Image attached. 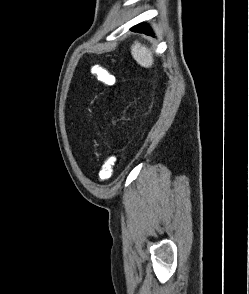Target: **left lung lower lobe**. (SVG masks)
<instances>
[{
    "mask_svg": "<svg viewBox=\"0 0 249 294\" xmlns=\"http://www.w3.org/2000/svg\"><path fill=\"white\" fill-rule=\"evenodd\" d=\"M131 30L138 31V32H144L148 35H152L150 28L146 24H139L137 26H134Z\"/></svg>",
    "mask_w": 249,
    "mask_h": 294,
    "instance_id": "left-lung-lower-lobe-1",
    "label": "left lung lower lobe"
}]
</instances>
